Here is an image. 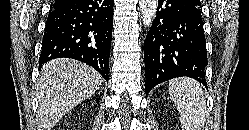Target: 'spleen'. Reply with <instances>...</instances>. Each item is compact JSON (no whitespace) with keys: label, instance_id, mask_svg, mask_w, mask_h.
<instances>
[{"label":"spleen","instance_id":"obj_1","mask_svg":"<svg viewBox=\"0 0 249 130\" xmlns=\"http://www.w3.org/2000/svg\"><path fill=\"white\" fill-rule=\"evenodd\" d=\"M169 94L180 114L183 130H201L207 107L200 83L187 77L175 78L169 82Z\"/></svg>","mask_w":249,"mask_h":130}]
</instances>
